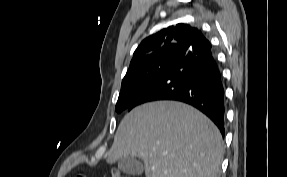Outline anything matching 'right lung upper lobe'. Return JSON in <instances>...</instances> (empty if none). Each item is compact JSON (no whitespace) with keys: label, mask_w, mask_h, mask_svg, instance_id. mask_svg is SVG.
Listing matches in <instances>:
<instances>
[{"label":"right lung upper lobe","mask_w":287,"mask_h":177,"mask_svg":"<svg viewBox=\"0 0 287 177\" xmlns=\"http://www.w3.org/2000/svg\"><path fill=\"white\" fill-rule=\"evenodd\" d=\"M200 33L197 28L180 23L147 37L135 50L123 80L166 57L178 56L183 59Z\"/></svg>","instance_id":"1"}]
</instances>
